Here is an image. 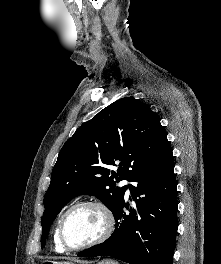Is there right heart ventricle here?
<instances>
[{"instance_id": "right-heart-ventricle-1", "label": "right heart ventricle", "mask_w": 221, "mask_h": 264, "mask_svg": "<svg viewBox=\"0 0 221 264\" xmlns=\"http://www.w3.org/2000/svg\"><path fill=\"white\" fill-rule=\"evenodd\" d=\"M58 224L57 223L55 230H54V234H53V242H54V247L58 252H63L66 249L61 245L59 237H58Z\"/></svg>"}]
</instances>
